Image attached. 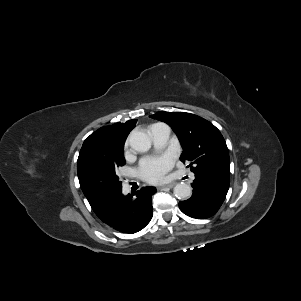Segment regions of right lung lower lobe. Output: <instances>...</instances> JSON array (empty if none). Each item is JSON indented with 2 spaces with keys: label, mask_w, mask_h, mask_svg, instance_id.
Masks as SVG:
<instances>
[{
  "label": "right lung lower lobe",
  "mask_w": 301,
  "mask_h": 301,
  "mask_svg": "<svg viewBox=\"0 0 301 301\" xmlns=\"http://www.w3.org/2000/svg\"><path fill=\"white\" fill-rule=\"evenodd\" d=\"M155 187H144L136 192V198L120 192L97 216L110 227L133 234L142 230L152 218V195Z\"/></svg>",
  "instance_id": "right-lung-lower-lobe-1"
}]
</instances>
